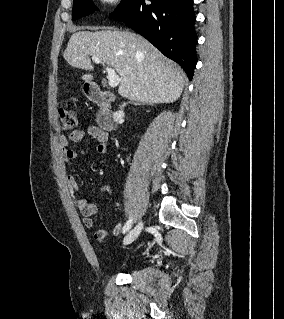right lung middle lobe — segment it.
<instances>
[{"label": "right lung middle lobe", "instance_id": "dd1d6c3e", "mask_svg": "<svg viewBox=\"0 0 284 319\" xmlns=\"http://www.w3.org/2000/svg\"><path fill=\"white\" fill-rule=\"evenodd\" d=\"M73 11H72V18L74 20L79 19L83 16H86L89 13H92L97 10V8L93 5L92 0H73ZM131 0H122L120 4H126Z\"/></svg>", "mask_w": 284, "mask_h": 319}]
</instances>
